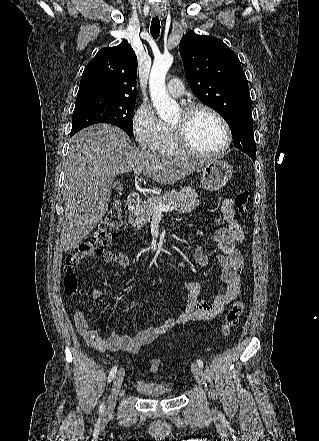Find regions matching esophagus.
<instances>
[{
	"label": "esophagus",
	"mask_w": 319,
	"mask_h": 441,
	"mask_svg": "<svg viewBox=\"0 0 319 441\" xmlns=\"http://www.w3.org/2000/svg\"><path fill=\"white\" fill-rule=\"evenodd\" d=\"M151 13L154 17L160 16V9L158 7H153Z\"/></svg>",
	"instance_id": "34e87169"
}]
</instances>
